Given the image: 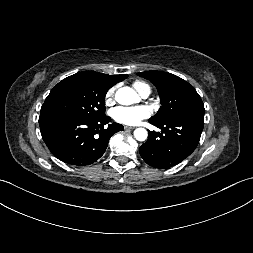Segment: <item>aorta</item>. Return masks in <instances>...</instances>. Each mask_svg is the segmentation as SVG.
Segmentation results:
<instances>
[{"mask_svg":"<svg viewBox=\"0 0 253 253\" xmlns=\"http://www.w3.org/2000/svg\"><path fill=\"white\" fill-rule=\"evenodd\" d=\"M115 99L119 104L131 105L139 101V97L134 89L130 87H122L117 90ZM134 136L138 141H144L147 139L148 133L144 128H137L134 131Z\"/></svg>","mask_w":253,"mask_h":253,"instance_id":"762f6f07","label":"aorta"}]
</instances>
